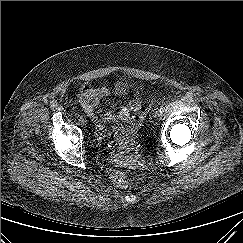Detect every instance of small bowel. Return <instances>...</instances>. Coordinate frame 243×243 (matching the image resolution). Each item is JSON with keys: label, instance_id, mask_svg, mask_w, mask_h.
Here are the masks:
<instances>
[{"label": "small bowel", "instance_id": "1", "mask_svg": "<svg viewBox=\"0 0 243 243\" xmlns=\"http://www.w3.org/2000/svg\"><path fill=\"white\" fill-rule=\"evenodd\" d=\"M112 89L117 95H126L129 92V86L124 82H116ZM110 93L111 88L107 85L98 87L85 85L79 92L78 101L98 130L102 129L104 123H112L113 131L119 139L121 141H128L135 128L133 115L142 106L141 94L137 91L128 103L122 105L115 112L107 111L98 114L97 107L100 101L109 97Z\"/></svg>", "mask_w": 243, "mask_h": 243}]
</instances>
